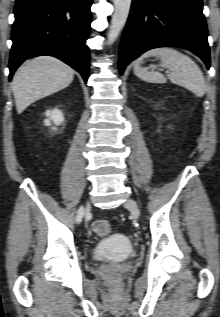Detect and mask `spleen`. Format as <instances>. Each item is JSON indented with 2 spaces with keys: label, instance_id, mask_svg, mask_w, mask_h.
<instances>
[{
  "label": "spleen",
  "instance_id": "1",
  "mask_svg": "<svg viewBox=\"0 0 220 317\" xmlns=\"http://www.w3.org/2000/svg\"><path fill=\"white\" fill-rule=\"evenodd\" d=\"M151 56L159 58L161 61L159 66L170 71L166 77L159 72L148 71V68L141 67L143 59ZM155 67L152 65L150 68ZM134 74L150 83L162 84L169 79L172 83L188 89L197 97H202L206 91L205 78L198 65L189 56L168 47L155 48L145 53L134 63Z\"/></svg>",
  "mask_w": 220,
  "mask_h": 317
}]
</instances>
